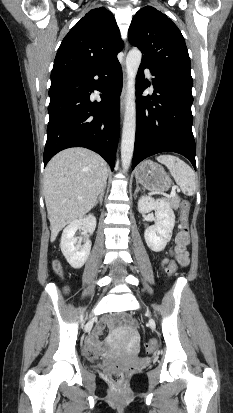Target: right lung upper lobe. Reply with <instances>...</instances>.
<instances>
[{
	"instance_id": "1",
	"label": "right lung upper lobe",
	"mask_w": 233,
	"mask_h": 413,
	"mask_svg": "<svg viewBox=\"0 0 233 413\" xmlns=\"http://www.w3.org/2000/svg\"><path fill=\"white\" fill-rule=\"evenodd\" d=\"M123 45L111 12L103 7L93 9L63 39L51 77L78 72L115 59Z\"/></svg>"
}]
</instances>
